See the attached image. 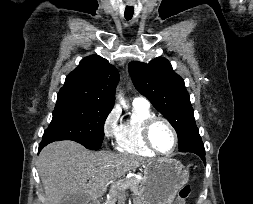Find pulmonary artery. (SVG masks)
<instances>
[{"label":"pulmonary artery","instance_id":"obj_1","mask_svg":"<svg viewBox=\"0 0 253 204\" xmlns=\"http://www.w3.org/2000/svg\"><path fill=\"white\" fill-rule=\"evenodd\" d=\"M133 104L149 107L150 103L145 97L137 96L133 99Z\"/></svg>","mask_w":253,"mask_h":204}]
</instances>
